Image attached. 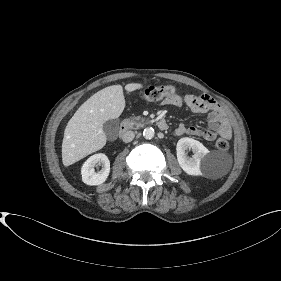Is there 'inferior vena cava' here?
<instances>
[{
    "label": "inferior vena cava",
    "mask_w": 281,
    "mask_h": 281,
    "mask_svg": "<svg viewBox=\"0 0 281 281\" xmlns=\"http://www.w3.org/2000/svg\"><path fill=\"white\" fill-rule=\"evenodd\" d=\"M135 137V134L133 131H126L122 134L121 138L123 142L128 143L131 142Z\"/></svg>",
    "instance_id": "1"
}]
</instances>
